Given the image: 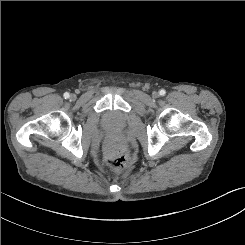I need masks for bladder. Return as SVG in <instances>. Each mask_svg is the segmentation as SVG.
<instances>
[{"label":"bladder","mask_w":245,"mask_h":245,"mask_svg":"<svg viewBox=\"0 0 245 245\" xmlns=\"http://www.w3.org/2000/svg\"><path fill=\"white\" fill-rule=\"evenodd\" d=\"M103 123L107 127L121 128L125 125L126 119L124 115L119 112H108L103 118Z\"/></svg>","instance_id":"31cf9c89"}]
</instances>
